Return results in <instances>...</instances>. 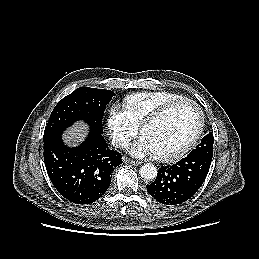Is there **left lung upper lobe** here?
<instances>
[{
	"instance_id": "left-lung-upper-lobe-1",
	"label": "left lung upper lobe",
	"mask_w": 259,
	"mask_h": 259,
	"mask_svg": "<svg viewBox=\"0 0 259 259\" xmlns=\"http://www.w3.org/2000/svg\"><path fill=\"white\" fill-rule=\"evenodd\" d=\"M213 134L209 132L206 136H204L201 140V143L194 149L190 154L193 155H204L207 157L213 156Z\"/></svg>"
}]
</instances>
